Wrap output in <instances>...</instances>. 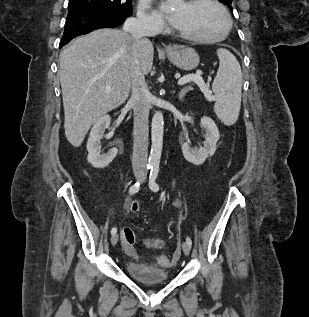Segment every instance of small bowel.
<instances>
[{
  "mask_svg": "<svg viewBox=\"0 0 309 317\" xmlns=\"http://www.w3.org/2000/svg\"><path fill=\"white\" fill-rule=\"evenodd\" d=\"M176 204L178 205L179 202H176ZM130 205H131L130 202L127 201V202H126V207H127V209H129V210H130ZM125 248H126V251H127L129 254H131V255L135 254V251H134L133 247H125Z\"/></svg>",
  "mask_w": 309,
  "mask_h": 317,
  "instance_id": "obj_1",
  "label": "small bowel"
}]
</instances>
